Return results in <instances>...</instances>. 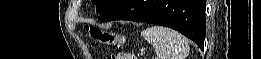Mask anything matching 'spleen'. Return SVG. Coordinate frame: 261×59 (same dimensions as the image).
I'll return each instance as SVG.
<instances>
[{
  "mask_svg": "<svg viewBox=\"0 0 261 59\" xmlns=\"http://www.w3.org/2000/svg\"><path fill=\"white\" fill-rule=\"evenodd\" d=\"M141 35L154 47L158 59H185L189 54L187 39L170 28L151 26Z\"/></svg>",
  "mask_w": 261,
  "mask_h": 59,
  "instance_id": "obj_1",
  "label": "spleen"
}]
</instances>
